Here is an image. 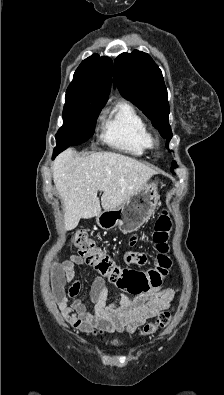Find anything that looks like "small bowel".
Segmentation results:
<instances>
[{
    "label": "small bowel",
    "mask_w": 224,
    "mask_h": 395,
    "mask_svg": "<svg viewBox=\"0 0 224 395\" xmlns=\"http://www.w3.org/2000/svg\"><path fill=\"white\" fill-rule=\"evenodd\" d=\"M134 240L135 237H132L131 245L135 244ZM125 260L128 263L144 264L147 257L143 253L129 251ZM83 264V259L74 255L63 263H55L51 273L53 293L62 317L74 329L83 333H132L147 320L167 309L174 298L175 290L163 288L160 283L133 297L124 293L119 301L108 303L105 278L97 275L90 289L93 310L89 311L82 300L75 299L69 303L70 298L76 297L80 292L81 283L75 279V268Z\"/></svg>",
    "instance_id": "1"
}]
</instances>
